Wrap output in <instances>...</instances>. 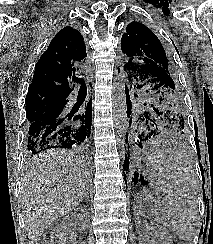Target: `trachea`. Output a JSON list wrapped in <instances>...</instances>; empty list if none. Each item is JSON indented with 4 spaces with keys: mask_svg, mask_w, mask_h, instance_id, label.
Listing matches in <instances>:
<instances>
[{
    "mask_svg": "<svg viewBox=\"0 0 213 244\" xmlns=\"http://www.w3.org/2000/svg\"><path fill=\"white\" fill-rule=\"evenodd\" d=\"M73 81H75L76 83H79L81 85L80 89H79L80 93H86L87 92V87H86L85 81L83 79L74 78Z\"/></svg>",
    "mask_w": 213,
    "mask_h": 244,
    "instance_id": "obj_1",
    "label": "trachea"
}]
</instances>
